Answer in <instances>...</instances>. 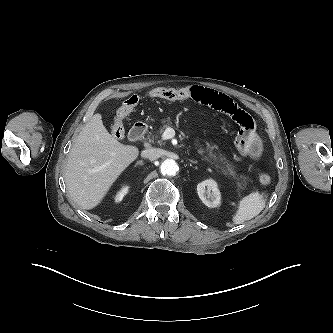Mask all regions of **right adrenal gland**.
I'll list each match as a JSON object with an SVG mask.
<instances>
[{
	"label": "right adrenal gland",
	"mask_w": 333,
	"mask_h": 333,
	"mask_svg": "<svg viewBox=\"0 0 333 333\" xmlns=\"http://www.w3.org/2000/svg\"><path fill=\"white\" fill-rule=\"evenodd\" d=\"M138 165H143V163L142 162H138Z\"/></svg>",
	"instance_id": "right-adrenal-gland-1"
}]
</instances>
